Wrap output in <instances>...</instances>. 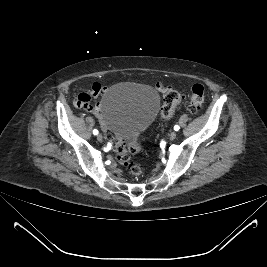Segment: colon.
<instances>
[{"label":"colon","mask_w":267,"mask_h":267,"mask_svg":"<svg viewBox=\"0 0 267 267\" xmlns=\"http://www.w3.org/2000/svg\"><path fill=\"white\" fill-rule=\"evenodd\" d=\"M204 95L205 89L203 85L194 84L191 87L188 105L190 112H197L202 108ZM182 98V95L175 90H169L165 93L162 105V116L165 119L173 117L175 109L181 103ZM112 146L119 164L125 167L131 174L139 175L141 173L140 167L131 162V156L138 154L142 149L139 136H134L127 141L119 138L113 139Z\"/></svg>","instance_id":"5ec220e1"}]
</instances>
